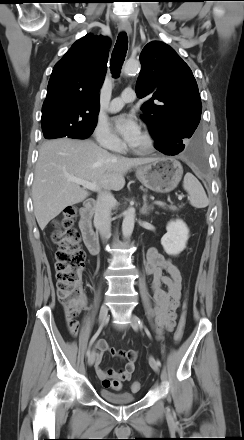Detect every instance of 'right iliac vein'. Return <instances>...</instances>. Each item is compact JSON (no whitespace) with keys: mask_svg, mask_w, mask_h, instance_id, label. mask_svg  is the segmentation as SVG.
Returning a JSON list of instances; mask_svg holds the SVG:
<instances>
[{"mask_svg":"<svg viewBox=\"0 0 244 440\" xmlns=\"http://www.w3.org/2000/svg\"><path fill=\"white\" fill-rule=\"evenodd\" d=\"M108 317V307L103 304L100 308V312H99V321L100 324H104L105 321L107 320ZM94 355H95V351H92V353L90 354L89 358H88V365L92 366L94 364Z\"/></svg>","mask_w":244,"mask_h":440,"instance_id":"obj_1","label":"right iliac vein"}]
</instances>
